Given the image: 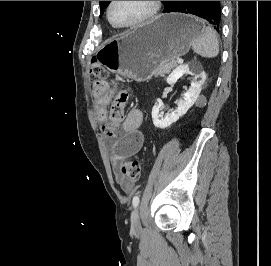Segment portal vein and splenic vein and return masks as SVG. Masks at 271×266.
I'll return each instance as SVG.
<instances>
[{
  "instance_id": "18ae733b",
  "label": "portal vein and splenic vein",
  "mask_w": 271,
  "mask_h": 266,
  "mask_svg": "<svg viewBox=\"0 0 271 266\" xmlns=\"http://www.w3.org/2000/svg\"><path fill=\"white\" fill-rule=\"evenodd\" d=\"M177 62H178L179 64H182V63H183V59L180 58V59L177 60Z\"/></svg>"
}]
</instances>
